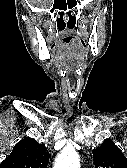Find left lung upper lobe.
Wrapping results in <instances>:
<instances>
[{
    "label": "left lung upper lobe",
    "mask_w": 127,
    "mask_h": 168,
    "mask_svg": "<svg viewBox=\"0 0 127 168\" xmlns=\"http://www.w3.org/2000/svg\"><path fill=\"white\" fill-rule=\"evenodd\" d=\"M96 168H127V158L110 140L92 151Z\"/></svg>",
    "instance_id": "obj_1"
}]
</instances>
